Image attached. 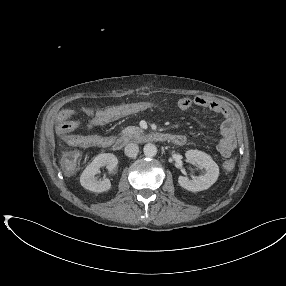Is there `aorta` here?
<instances>
[{"instance_id": "aorta-1", "label": "aorta", "mask_w": 286, "mask_h": 286, "mask_svg": "<svg viewBox=\"0 0 286 286\" xmlns=\"http://www.w3.org/2000/svg\"><path fill=\"white\" fill-rule=\"evenodd\" d=\"M144 155L154 157L157 154V147L152 143H147L143 148Z\"/></svg>"}]
</instances>
